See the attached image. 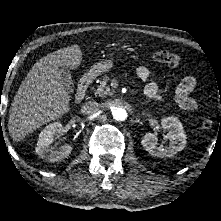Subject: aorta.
I'll list each match as a JSON object with an SVG mask.
<instances>
[{
  "label": "aorta",
  "instance_id": "762f6f07",
  "mask_svg": "<svg viewBox=\"0 0 221 221\" xmlns=\"http://www.w3.org/2000/svg\"><path fill=\"white\" fill-rule=\"evenodd\" d=\"M113 118L116 121H124L127 118V112L124 108L116 107L112 110Z\"/></svg>",
  "mask_w": 221,
  "mask_h": 221
}]
</instances>
